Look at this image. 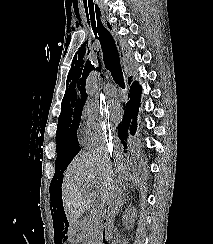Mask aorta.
<instances>
[{
  "label": "aorta",
  "instance_id": "aorta-1",
  "mask_svg": "<svg viewBox=\"0 0 213 244\" xmlns=\"http://www.w3.org/2000/svg\"><path fill=\"white\" fill-rule=\"evenodd\" d=\"M97 82L98 75L97 72H92L86 82V92L89 97H93L97 93Z\"/></svg>",
  "mask_w": 213,
  "mask_h": 244
}]
</instances>
